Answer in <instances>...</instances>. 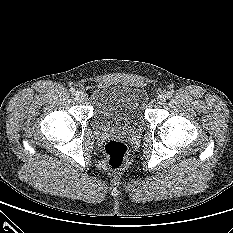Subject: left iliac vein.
<instances>
[{"instance_id": "obj_1", "label": "left iliac vein", "mask_w": 233, "mask_h": 233, "mask_svg": "<svg viewBox=\"0 0 233 233\" xmlns=\"http://www.w3.org/2000/svg\"><path fill=\"white\" fill-rule=\"evenodd\" d=\"M166 100H167V96L163 93H161L157 96V102L161 105L164 104L166 102Z\"/></svg>"}]
</instances>
